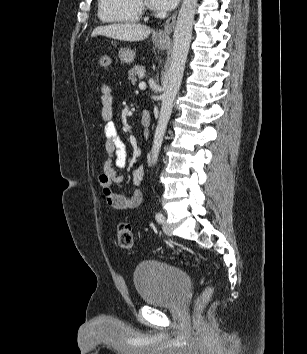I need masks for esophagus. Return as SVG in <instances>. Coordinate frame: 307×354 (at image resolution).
<instances>
[{
    "mask_svg": "<svg viewBox=\"0 0 307 354\" xmlns=\"http://www.w3.org/2000/svg\"><path fill=\"white\" fill-rule=\"evenodd\" d=\"M176 15H177V12L174 13L172 16H170L167 19V21L165 22V25H164V29L161 30L159 33H157V35H156L157 39H168L169 38V36L173 30L174 24H175Z\"/></svg>",
    "mask_w": 307,
    "mask_h": 354,
    "instance_id": "1",
    "label": "esophagus"
}]
</instances>
